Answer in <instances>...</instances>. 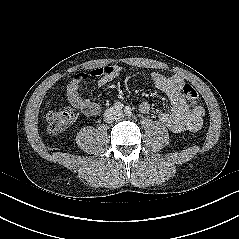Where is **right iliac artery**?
Masks as SVG:
<instances>
[{"label":"right iliac artery","mask_w":239,"mask_h":239,"mask_svg":"<svg viewBox=\"0 0 239 239\" xmlns=\"http://www.w3.org/2000/svg\"><path fill=\"white\" fill-rule=\"evenodd\" d=\"M114 108H115L116 110H122V109H123V104H122L121 102H116V103L114 104Z\"/></svg>","instance_id":"1"}]
</instances>
